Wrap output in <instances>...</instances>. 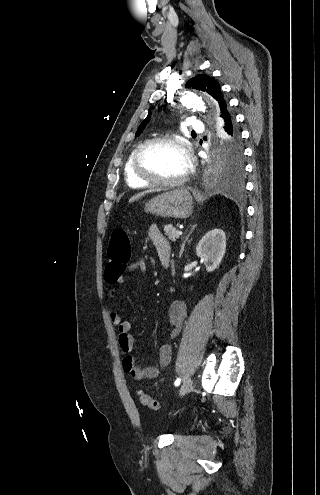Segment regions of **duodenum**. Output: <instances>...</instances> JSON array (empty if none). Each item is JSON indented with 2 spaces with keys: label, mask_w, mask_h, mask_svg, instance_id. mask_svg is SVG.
<instances>
[{
  "label": "duodenum",
  "mask_w": 320,
  "mask_h": 495,
  "mask_svg": "<svg viewBox=\"0 0 320 495\" xmlns=\"http://www.w3.org/2000/svg\"><path fill=\"white\" fill-rule=\"evenodd\" d=\"M170 254H171L170 247H168L167 249H165L164 251H162L159 254V258H160L163 266H165V267H168L170 264Z\"/></svg>",
  "instance_id": "duodenum-1"
}]
</instances>
